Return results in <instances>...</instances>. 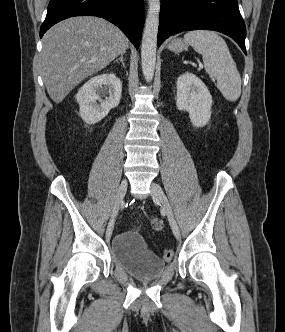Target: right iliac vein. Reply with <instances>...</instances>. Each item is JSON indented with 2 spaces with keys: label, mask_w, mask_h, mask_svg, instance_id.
<instances>
[{
  "label": "right iliac vein",
  "mask_w": 285,
  "mask_h": 332,
  "mask_svg": "<svg viewBox=\"0 0 285 332\" xmlns=\"http://www.w3.org/2000/svg\"><path fill=\"white\" fill-rule=\"evenodd\" d=\"M127 186H128L127 180L123 179L120 186H119V188H118L116 198H115L114 208H113V211H112L111 220H110V222L108 224V227H107V230H106V238L107 239H109L112 235L113 227H114V221H115V218L117 216L118 210H119V208L121 207V205L123 203V199H124V196H125L126 191H127Z\"/></svg>",
  "instance_id": "obj_1"
}]
</instances>
